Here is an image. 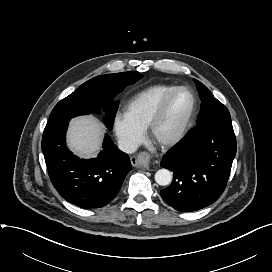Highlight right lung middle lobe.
Masks as SVG:
<instances>
[{"label":"right lung middle lobe","mask_w":272,"mask_h":272,"mask_svg":"<svg viewBox=\"0 0 272 272\" xmlns=\"http://www.w3.org/2000/svg\"><path fill=\"white\" fill-rule=\"evenodd\" d=\"M142 77V74L136 71L94 77L54 107L48 124L93 113L102 106L107 108V105H111L106 113V126L111 129L118 108V102L113 103L112 98Z\"/></svg>","instance_id":"dd1d6c3e"}]
</instances>
